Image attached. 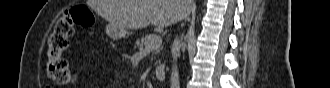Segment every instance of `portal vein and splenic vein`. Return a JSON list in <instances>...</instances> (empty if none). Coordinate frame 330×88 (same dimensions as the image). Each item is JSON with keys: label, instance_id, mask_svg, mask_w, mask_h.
<instances>
[{"label": "portal vein and splenic vein", "instance_id": "portal-vein-and-splenic-vein-1", "mask_svg": "<svg viewBox=\"0 0 330 88\" xmlns=\"http://www.w3.org/2000/svg\"><path fill=\"white\" fill-rule=\"evenodd\" d=\"M162 44V38L161 36H157L156 41L154 43H151L149 46L145 47V51H152L157 48H159Z\"/></svg>", "mask_w": 330, "mask_h": 88}]
</instances>
